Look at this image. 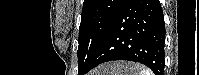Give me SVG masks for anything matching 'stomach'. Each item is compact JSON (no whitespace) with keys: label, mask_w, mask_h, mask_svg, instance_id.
Segmentation results:
<instances>
[{"label":"stomach","mask_w":199,"mask_h":75,"mask_svg":"<svg viewBox=\"0 0 199 75\" xmlns=\"http://www.w3.org/2000/svg\"><path fill=\"white\" fill-rule=\"evenodd\" d=\"M95 75H136V67L129 62L107 63L99 67Z\"/></svg>","instance_id":"obj_1"}]
</instances>
